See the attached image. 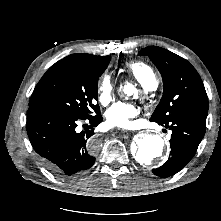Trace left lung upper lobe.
I'll list each match as a JSON object with an SVG mask.
<instances>
[{"mask_svg": "<svg viewBox=\"0 0 221 221\" xmlns=\"http://www.w3.org/2000/svg\"><path fill=\"white\" fill-rule=\"evenodd\" d=\"M138 54L148 56L163 79V96L150 121L163 125L186 117L206 124L208 98L195 68L184 58L157 46L143 48Z\"/></svg>", "mask_w": 221, "mask_h": 221, "instance_id": "1", "label": "left lung upper lobe"}]
</instances>
